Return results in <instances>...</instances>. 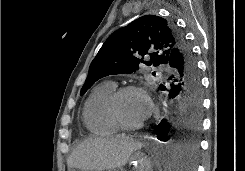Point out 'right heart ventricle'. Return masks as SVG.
Listing matches in <instances>:
<instances>
[{
  "label": "right heart ventricle",
  "instance_id": "right-heart-ventricle-1",
  "mask_svg": "<svg viewBox=\"0 0 245 171\" xmlns=\"http://www.w3.org/2000/svg\"><path fill=\"white\" fill-rule=\"evenodd\" d=\"M116 85L105 81L97 85L88 96L83 110V120L87 129L97 135H110L119 128L108 112V100L115 91Z\"/></svg>",
  "mask_w": 245,
  "mask_h": 171
}]
</instances>
